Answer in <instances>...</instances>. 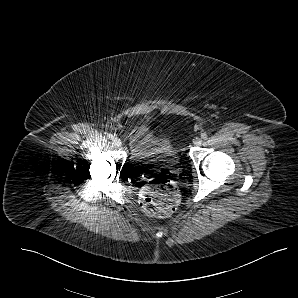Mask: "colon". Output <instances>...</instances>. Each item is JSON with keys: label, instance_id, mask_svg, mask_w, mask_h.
Segmentation results:
<instances>
[{"label": "colon", "instance_id": "1", "mask_svg": "<svg viewBox=\"0 0 298 298\" xmlns=\"http://www.w3.org/2000/svg\"><path fill=\"white\" fill-rule=\"evenodd\" d=\"M139 201L142 209L148 215L164 217L177 209L180 196L170 179L158 177L150 180L142 188Z\"/></svg>", "mask_w": 298, "mask_h": 298}]
</instances>
